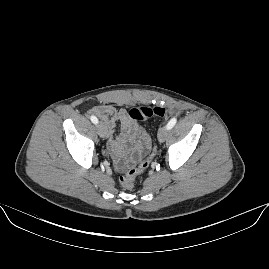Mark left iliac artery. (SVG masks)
Here are the masks:
<instances>
[{
    "label": "left iliac artery",
    "mask_w": 269,
    "mask_h": 269,
    "mask_svg": "<svg viewBox=\"0 0 269 269\" xmlns=\"http://www.w3.org/2000/svg\"><path fill=\"white\" fill-rule=\"evenodd\" d=\"M176 122H177V119H176V118H172V119L168 122V124H167V129H171V128H173L174 125L176 124Z\"/></svg>",
    "instance_id": "obj_1"
}]
</instances>
